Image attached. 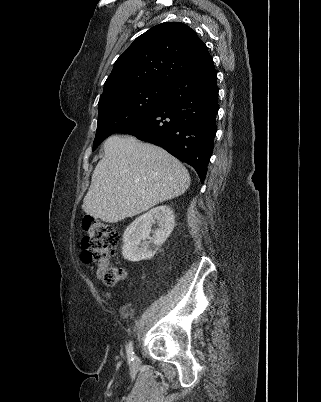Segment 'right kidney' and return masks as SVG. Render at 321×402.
I'll use <instances>...</instances> for the list:
<instances>
[{
    "mask_svg": "<svg viewBox=\"0 0 321 402\" xmlns=\"http://www.w3.org/2000/svg\"><path fill=\"white\" fill-rule=\"evenodd\" d=\"M157 221L158 228L150 237L151 226ZM175 225L174 215L166 206H157L136 218L123 234L122 255L131 262L151 259L166 241Z\"/></svg>",
    "mask_w": 321,
    "mask_h": 402,
    "instance_id": "obj_1",
    "label": "right kidney"
}]
</instances>
